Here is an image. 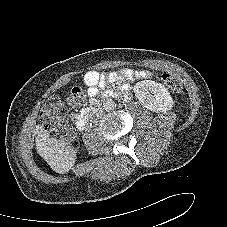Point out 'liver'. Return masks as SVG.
<instances>
[{
	"instance_id": "6515ba94",
	"label": "liver",
	"mask_w": 227,
	"mask_h": 227,
	"mask_svg": "<svg viewBox=\"0 0 227 227\" xmlns=\"http://www.w3.org/2000/svg\"><path fill=\"white\" fill-rule=\"evenodd\" d=\"M36 150L37 153L47 162V164L57 173H66L75 164L76 154L71 146L64 141L50 138V135L43 126L37 125Z\"/></svg>"
}]
</instances>
